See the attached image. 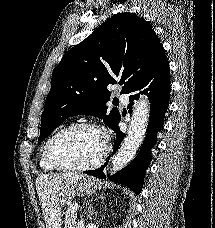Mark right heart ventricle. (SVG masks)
Here are the masks:
<instances>
[{"label":"right heart ventricle","mask_w":215,"mask_h":228,"mask_svg":"<svg viewBox=\"0 0 215 228\" xmlns=\"http://www.w3.org/2000/svg\"><path fill=\"white\" fill-rule=\"evenodd\" d=\"M53 134H51L47 139L46 141L43 143L42 145V148H41V151H40V166L42 168L43 171L45 172H51V171H54L55 169H53L52 167H50L46 161V158H45V149H46V145L49 141V139L52 137Z\"/></svg>","instance_id":"1"}]
</instances>
